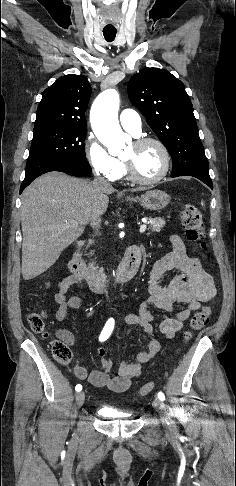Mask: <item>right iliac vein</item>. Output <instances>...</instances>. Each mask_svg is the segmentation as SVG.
<instances>
[{
    "mask_svg": "<svg viewBox=\"0 0 236 486\" xmlns=\"http://www.w3.org/2000/svg\"><path fill=\"white\" fill-rule=\"evenodd\" d=\"M84 401H85V393L84 392H78L76 394V403H77L78 408H80L84 404Z\"/></svg>",
    "mask_w": 236,
    "mask_h": 486,
    "instance_id": "obj_1",
    "label": "right iliac vein"
}]
</instances>
